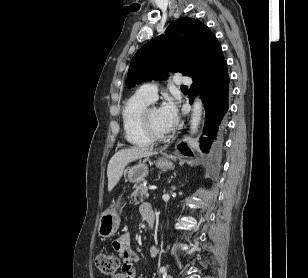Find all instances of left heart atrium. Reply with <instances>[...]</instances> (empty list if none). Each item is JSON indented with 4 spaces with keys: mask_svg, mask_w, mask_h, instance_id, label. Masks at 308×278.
Masks as SVG:
<instances>
[{
    "mask_svg": "<svg viewBox=\"0 0 308 278\" xmlns=\"http://www.w3.org/2000/svg\"><path fill=\"white\" fill-rule=\"evenodd\" d=\"M160 123L165 132L174 129L178 123V111L172 101L165 102L159 109Z\"/></svg>",
    "mask_w": 308,
    "mask_h": 278,
    "instance_id": "left-heart-atrium-1",
    "label": "left heart atrium"
}]
</instances>
